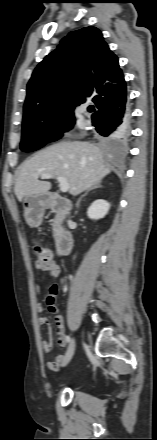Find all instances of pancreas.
<instances>
[{
    "label": "pancreas",
    "instance_id": "pancreas-1",
    "mask_svg": "<svg viewBox=\"0 0 157 440\" xmlns=\"http://www.w3.org/2000/svg\"><path fill=\"white\" fill-rule=\"evenodd\" d=\"M61 227V221L58 216L52 220V228H53V237L56 239Z\"/></svg>",
    "mask_w": 157,
    "mask_h": 440
}]
</instances>
